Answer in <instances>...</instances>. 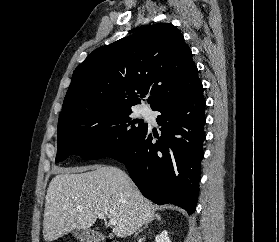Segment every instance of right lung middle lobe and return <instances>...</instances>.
Masks as SVG:
<instances>
[{"mask_svg": "<svg viewBox=\"0 0 279 242\" xmlns=\"http://www.w3.org/2000/svg\"><path fill=\"white\" fill-rule=\"evenodd\" d=\"M131 113L128 110L108 117L58 124L56 162L72 154L84 159H100L123 151L148 128L146 123L132 120Z\"/></svg>", "mask_w": 279, "mask_h": 242, "instance_id": "dd1d6c3e", "label": "right lung middle lobe"}]
</instances>
